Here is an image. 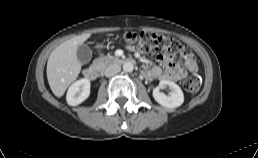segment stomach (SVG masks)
<instances>
[{
	"instance_id": "stomach-1",
	"label": "stomach",
	"mask_w": 258,
	"mask_h": 158,
	"mask_svg": "<svg viewBox=\"0 0 258 158\" xmlns=\"http://www.w3.org/2000/svg\"><path fill=\"white\" fill-rule=\"evenodd\" d=\"M102 46H103L102 44H99V45H98V47H100V48H101Z\"/></svg>"
}]
</instances>
